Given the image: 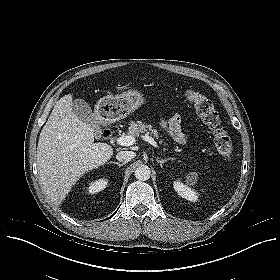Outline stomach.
Here are the masks:
<instances>
[{
	"label": "stomach",
	"instance_id": "stomach-1",
	"mask_svg": "<svg viewBox=\"0 0 280 280\" xmlns=\"http://www.w3.org/2000/svg\"><path fill=\"white\" fill-rule=\"evenodd\" d=\"M145 103L143 94L129 90L118 95H108L98 101V110L108 122H115L127 117Z\"/></svg>",
	"mask_w": 280,
	"mask_h": 280
}]
</instances>
